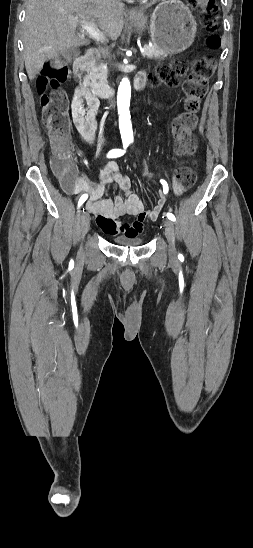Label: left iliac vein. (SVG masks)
<instances>
[{
	"instance_id": "4c4485c4",
	"label": "left iliac vein",
	"mask_w": 253,
	"mask_h": 548,
	"mask_svg": "<svg viewBox=\"0 0 253 548\" xmlns=\"http://www.w3.org/2000/svg\"><path fill=\"white\" fill-rule=\"evenodd\" d=\"M165 226V235L168 241V252L170 258L176 257V247H175V229L174 224L170 220H164Z\"/></svg>"
}]
</instances>
